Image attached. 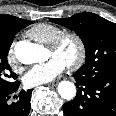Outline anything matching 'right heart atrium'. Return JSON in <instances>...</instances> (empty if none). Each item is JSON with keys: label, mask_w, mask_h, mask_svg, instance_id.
<instances>
[{"label": "right heart atrium", "mask_w": 116, "mask_h": 116, "mask_svg": "<svg viewBox=\"0 0 116 116\" xmlns=\"http://www.w3.org/2000/svg\"><path fill=\"white\" fill-rule=\"evenodd\" d=\"M5 59L7 64L16 72L22 70L20 62L15 54L14 43H11L7 49Z\"/></svg>", "instance_id": "obj_1"}]
</instances>
